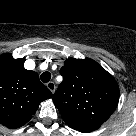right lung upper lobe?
Wrapping results in <instances>:
<instances>
[{"label": "right lung upper lobe", "instance_id": "right-lung-upper-lobe-1", "mask_svg": "<svg viewBox=\"0 0 136 136\" xmlns=\"http://www.w3.org/2000/svg\"><path fill=\"white\" fill-rule=\"evenodd\" d=\"M25 59L0 56V124L13 129L27 123L40 102L52 97L36 72L24 68Z\"/></svg>", "mask_w": 136, "mask_h": 136}]
</instances>
